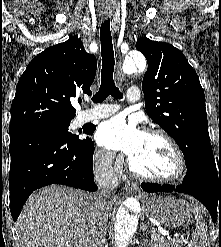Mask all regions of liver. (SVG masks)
I'll use <instances>...</instances> for the list:
<instances>
[{"label": "liver", "instance_id": "obj_1", "mask_svg": "<svg viewBox=\"0 0 221 247\" xmlns=\"http://www.w3.org/2000/svg\"><path fill=\"white\" fill-rule=\"evenodd\" d=\"M113 204V200L108 201V212ZM16 225L26 247H91L93 195L47 186L29 197Z\"/></svg>", "mask_w": 221, "mask_h": 247}]
</instances>
